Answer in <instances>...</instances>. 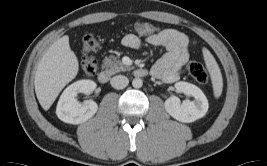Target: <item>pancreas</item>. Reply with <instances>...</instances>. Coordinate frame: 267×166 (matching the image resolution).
<instances>
[{
  "label": "pancreas",
  "mask_w": 267,
  "mask_h": 166,
  "mask_svg": "<svg viewBox=\"0 0 267 166\" xmlns=\"http://www.w3.org/2000/svg\"><path fill=\"white\" fill-rule=\"evenodd\" d=\"M103 68H105L106 71L111 75L118 72L131 70L130 67L124 65L120 60H118L114 56L106 57L103 60Z\"/></svg>",
  "instance_id": "obj_1"
}]
</instances>
